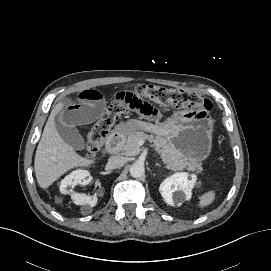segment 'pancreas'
Segmentation results:
<instances>
[{
	"label": "pancreas",
	"mask_w": 271,
	"mask_h": 271,
	"mask_svg": "<svg viewBox=\"0 0 271 271\" xmlns=\"http://www.w3.org/2000/svg\"><path fill=\"white\" fill-rule=\"evenodd\" d=\"M149 141L154 143L155 151L160 155L162 162L166 164V168L172 171H179L185 168L202 173L200 162H188L183 155L174 148L167 139L161 136H153L144 133L143 131H135L129 134L125 144L122 147V153L126 156H134L139 154V141Z\"/></svg>",
	"instance_id": "1"
}]
</instances>
